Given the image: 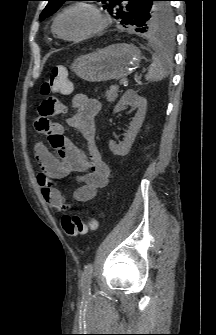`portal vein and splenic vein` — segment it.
<instances>
[{
    "label": "portal vein and splenic vein",
    "mask_w": 216,
    "mask_h": 335,
    "mask_svg": "<svg viewBox=\"0 0 216 335\" xmlns=\"http://www.w3.org/2000/svg\"><path fill=\"white\" fill-rule=\"evenodd\" d=\"M126 83V79L119 80V85L122 86Z\"/></svg>",
    "instance_id": "portal-vein-and-splenic-vein-1"
}]
</instances>
